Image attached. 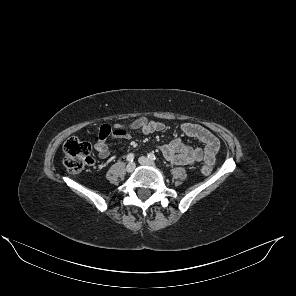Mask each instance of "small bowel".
Returning <instances> with one entry per match:
<instances>
[{
    "label": "small bowel",
    "mask_w": 296,
    "mask_h": 296,
    "mask_svg": "<svg viewBox=\"0 0 296 296\" xmlns=\"http://www.w3.org/2000/svg\"><path fill=\"white\" fill-rule=\"evenodd\" d=\"M164 128L162 122L144 116L137 117L127 124H103L99 129L95 149L99 158L106 159L110 155L111 140H129L132 132L139 131L148 135L160 132ZM181 131L186 136L199 140L204 148L187 146L177 137L159 147L165 159L177 165H191L201 161L214 164L219 149L218 139L209 130L195 123H183Z\"/></svg>",
    "instance_id": "obj_1"
}]
</instances>
